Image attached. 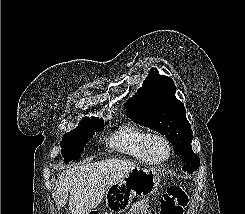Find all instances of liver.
<instances>
[{
    "label": "liver",
    "mask_w": 245,
    "mask_h": 214,
    "mask_svg": "<svg viewBox=\"0 0 245 214\" xmlns=\"http://www.w3.org/2000/svg\"><path fill=\"white\" fill-rule=\"evenodd\" d=\"M135 167L133 162L111 158L63 171L58 177V208L65 206L69 195L70 213L88 214L101 203L105 192Z\"/></svg>",
    "instance_id": "6515ba94"
}]
</instances>
